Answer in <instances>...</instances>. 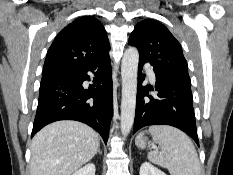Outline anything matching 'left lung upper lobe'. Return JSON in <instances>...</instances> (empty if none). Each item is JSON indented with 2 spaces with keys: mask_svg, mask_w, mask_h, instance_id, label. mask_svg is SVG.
I'll use <instances>...</instances> for the list:
<instances>
[{
  "mask_svg": "<svg viewBox=\"0 0 233 175\" xmlns=\"http://www.w3.org/2000/svg\"><path fill=\"white\" fill-rule=\"evenodd\" d=\"M129 44L137 47L140 58L149 62L154 70L190 81L181 45L158 21L148 19L139 22L131 33Z\"/></svg>",
  "mask_w": 233,
  "mask_h": 175,
  "instance_id": "5c2ea615",
  "label": "left lung upper lobe"
}]
</instances>
